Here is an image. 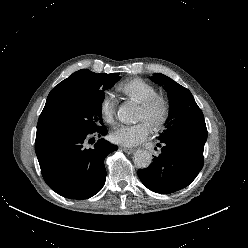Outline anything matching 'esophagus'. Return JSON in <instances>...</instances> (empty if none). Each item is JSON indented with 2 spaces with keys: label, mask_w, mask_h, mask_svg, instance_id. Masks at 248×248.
<instances>
[{
  "label": "esophagus",
  "mask_w": 248,
  "mask_h": 248,
  "mask_svg": "<svg viewBox=\"0 0 248 248\" xmlns=\"http://www.w3.org/2000/svg\"><path fill=\"white\" fill-rule=\"evenodd\" d=\"M121 149H122L124 152L128 153V154H131V153L134 152V149L128 148V147H121Z\"/></svg>",
  "instance_id": "34e87169"
}]
</instances>
